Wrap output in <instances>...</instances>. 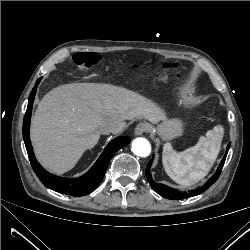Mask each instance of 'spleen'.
I'll return each mask as SVG.
<instances>
[{
    "label": "spleen",
    "instance_id": "3e777b00",
    "mask_svg": "<svg viewBox=\"0 0 250 250\" xmlns=\"http://www.w3.org/2000/svg\"><path fill=\"white\" fill-rule=\"evenodd\" d=\"M222 127L216 126L201 136L198 143L182 152H176L170 143L163 147L162 162L168 176L183 186L202 180L212 168L220 151Z\"/></svg>",
    "mask_w": 250,
    "mask_h": 250
}]
</instances>
